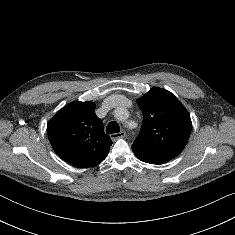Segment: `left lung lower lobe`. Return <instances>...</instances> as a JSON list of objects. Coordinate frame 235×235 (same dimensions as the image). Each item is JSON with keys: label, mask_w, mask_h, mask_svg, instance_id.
<instances>
[{"label": "left lung lower lobe", "mask_w": 235, "mask_h": 235, "mask_svg": "<svg viewBox=\"0 0 235 235\" xmlns=\"http://www.w3.org/2000/svg\"><path fill=\"white\" fill-rule=\"evenodd\" d=\"M135 155L139 160L151 164H163L170 161V159L160 156H151V155L137 154V153H135Z\"/></svg>", "instance_id": "left-lung-lower-lobe-1"}]
</instances>
